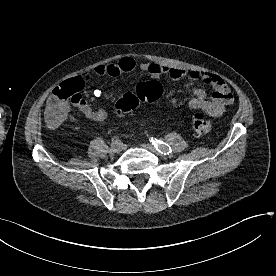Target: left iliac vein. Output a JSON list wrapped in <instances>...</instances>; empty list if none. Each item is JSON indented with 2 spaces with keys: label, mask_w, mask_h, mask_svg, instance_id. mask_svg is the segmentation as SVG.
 I'll use <instances>...</instances> for the list:
<instances>
[{
  "label": "left iliac vein",
  "mask_w": 276,
  "mask_h": 276,
  "mask_svg": "<svg viewBox=\"0 0 276 276\" xmlns=\"http://www.w3.org/2000/svg\"><path fill=\"white\" fill-rule=\"evenodd\" d=\"M142 147L145 149L150 150L151 152L157 154V155H161L162 153H160L155 147H153L152 145L149 144H142Z\"/></svg>",
  "instance_id": "left-iliac-vein-1"
}]
</instances>
